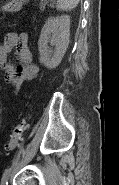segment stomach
<instances>
[{
  "mask_svg": "<svg viewBox=\"0 0 119 185\" xmlns=\"http://www.w3.org/2000/svg\"><path fill=\"white\" fill-rule=\"evenodd\" d=\"M26 1L27 0H10L9 2H7V4H5L2 7V9L4 11H10V12L19 11Z\"/></svg>",
  "mask_w": 119,
  "mask_h": 185,
  "instance_id": "0dacf381",
  "label": "stomach"
}]
</instances>
